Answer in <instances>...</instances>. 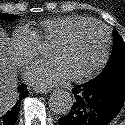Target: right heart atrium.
Here are the masks:
<instances>
[{
    "instance_id": "obj_1",
    "label": "right heart atrium",
    "mask_w": 125,
    "mask_h": 125,
    "mask_svg": "<svg viewBox=\"0 0 125 125\" xmlns=\"http://www.w3.org/2000/svg\"><path fill=\"white\" fill-rule=\"evenodd\" d=\"M10 51L15 63L23 67L39 55L40 41L31 28L19 26L11 35Z\"/></svg>"
}]
</instances>
